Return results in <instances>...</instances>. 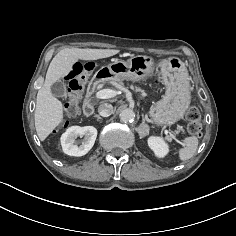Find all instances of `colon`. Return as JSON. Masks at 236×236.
<instances>
[{
    "label": "colon",
    "mask_w": 236,
    "mask_h": 236,
    "mask_svg": "<svg viewBox=\"0 0 236 236\" xmlns=\"http://www.w3.org/2000/svg\"><path fill=\"white\" fill-rule=\"evenodd\" d=\"M88 66L81 62H74L69 71V83L67 89V109L70 112H76L79 107L81 91L85 85V73ZM187 130L192 136H200L201 114L196 107H190L186 113Z\"/></svg>",
    "instance_id": "1"
}]
</instances>
